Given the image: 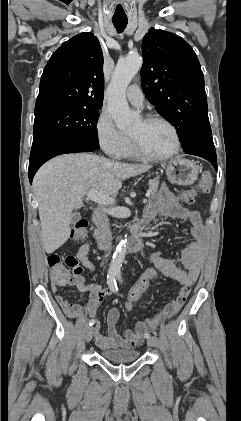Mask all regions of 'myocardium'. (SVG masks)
Instances as JSON below:
<instances>
[{"mask_svg":"<svg viewBox=\"0 0 241 421\" xmlns=\"http://www.w3.org/2000/svg\"><path fill=\"white\" fill-rule=\"evenodd\" d=\"M144 123L149 124V123H162L164 125H166L167 127L170 128V130L173 133L174 136V140H175V144L173 149L164 154V155H159V156H155V155H151L149 153H147L139 144V142L137 141L136 138H134L133 136H129L130 142H131V146L132 149L135 153V155L141 159L147 160V161H151V162H163L166 160L171 159L172 157H174L176 154L179 153L180 149H181V137L179 134V131L177 129V127L170 122L169 120L160 117V116H147L142 120Z\"/></svg>","mask_w":241,"mask_h":421,"instance_id":"obj_1","label":"myocardium"}]
</instances>
